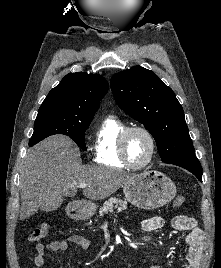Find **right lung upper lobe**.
<instances>
[{
  "instance_id": "cb5924a9",
  "label": "right lung upper lobe",
  "mask_w": 221,
  "mask_h": 268,
  "mask_svg": "<svg viewBox=\"0 0 221 268\" xmlns=\"http://www.w3.org/2000/svg\"><path fill=\"white\" fill-rule=\"evenodd\" d=\"M108 88V82L98 74L69 73L48 93L39 111L65 112L93 119Z\"/></svg>"
}]
</instances>
